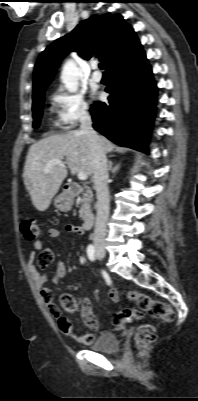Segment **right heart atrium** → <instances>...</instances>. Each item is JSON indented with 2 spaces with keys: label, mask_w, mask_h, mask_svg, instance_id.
<instances>
[{
  "label": "right heart atrium",
  "mask_w": 198,
  "mask_h": 401,
  "mask_svg": "<svg viewBox=\"0 0 198 401\" xmlns=\"http://www.w3.org/2000/svg\"><path fill=\"white\" fill-rule=\"evenodd\" d=\"M56 109L57 125L63 129L74 128L90 115V107L83 95L57 88L51 95Z\"/></svg>",
  "instance_id": "1"
}]
</instances>
